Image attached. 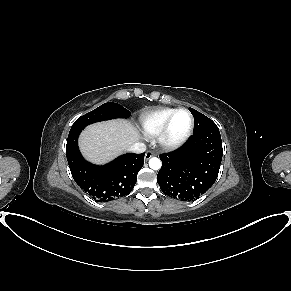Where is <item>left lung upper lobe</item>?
Segmentation results:
<instances>
[{"instance_id":"obj_1","label":"left lung upper lobe","mask_w":291,"mask_h":291,"mask_svg":"<svg viewBox=\"0 0 291 291\" xmlns=\"http://www.w3.org/2000/svg\"><path fill=\"white\" fill-rule=\"evenodd\" d=\"M189 111L194 116L193 134L202 132L208 128L217 127L216 124L211 119H209L205 115L201 114L200 112H198L192 108H189Z\"/></svg>"}]
</instances>
